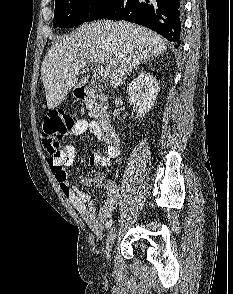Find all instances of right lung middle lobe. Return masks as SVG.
I'll use <instances>...</instances> for the list:
<instances>
[{
  "label": "right lung middle lobe",
  "instance_id": "obj_1",
  "mask_svg": "<svg viewBox=\"0 0 233 294\" xmlns=\"http://www.w3.org/2000/svg\"><path fill=\"white\" fill-rule=\"evenodd\" d=\"M118 0H55L53 27L70 28L107 16Z\"/></svg>",
  "mask_w": 233,
  "mask_h": 294
}]
</instances>
